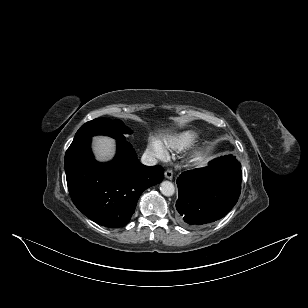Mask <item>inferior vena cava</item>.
I'll return each instance as SVG.
<instances>
[{"label": "inferior vena cava", "instance_id": "obj_1", "mask_svg": "<svg viewBox=\"0 0 308 308\" xmlns=\"http://www.w3.org/2000/svg\"><path fill=\"white\" fill-rule=\"evenodd\" d=\"M141 163L147 166H154L157 164V160L151 154L144 153L141 157Z\"/></svg>", "mask_w": 308, "mask_h": 308}]
</instances>
